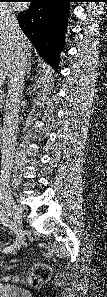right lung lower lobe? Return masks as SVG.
<instances>
[{"mask_svg": "<svg viewBox=\"0 0 107 297\" xmlns=\"http://www.w3.org/2000/svg\"><path fill=\"white\" fill-rule=\"evenodd\" d=\"M72 0H31L25 13L18 15L20 28L41 57L57 68L64 47V34Z\"/></svg>", "mask_w": 107, "mask_h": 297, "instance_id": "right-lung-lower-lobe-1", "label": "right lung lower lobe"}]
</instances>
